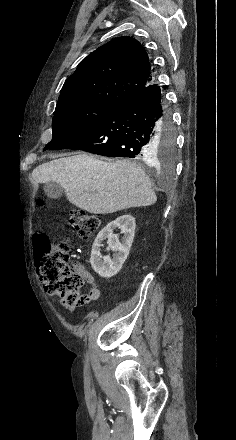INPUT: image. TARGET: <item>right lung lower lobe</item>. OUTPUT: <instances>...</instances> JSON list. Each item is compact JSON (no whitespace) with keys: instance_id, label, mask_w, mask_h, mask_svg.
I'll list each match as a JSON object with an SVG mask.
<instances>
[{"instance_id":"obj_1","label":"right lung lower lobe","mask_w":236,"mask_h":440,"mask_svg":"<svg viewBox=\"0 0 236 440\" xmlns=\"http://www.w3.org/2000/svg\"><path fill=\"white\" fill-rule=\"evenodd\" d=\"M171 130L161 88L148 89L116 106L86 131L53 149H76L108 157L149 161L160 134Z\"/></svg>"}]
</instances>
